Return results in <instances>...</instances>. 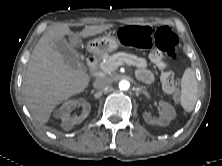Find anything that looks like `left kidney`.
Wrapping results in <instances>:
<instances>
[{"mask_svg":"<svg viewBox=\"0 0 222 166\" xmlns=\"http://www.w3.org/2000/svg\"><path fill=\"white\" fill-rule=\"evenodd\" d=\"M159 106L161 112L158 118H152L147 112L143 113V118L148 124L167 126L176 117V111L171 104L162 100L159 101Z\"/></svg>","mask_w":222,"mask_h":166,"instance_id":"left-kidney-1","label":"left kidney"}]
</instances>
